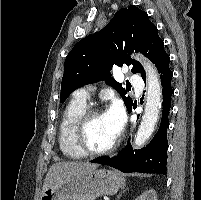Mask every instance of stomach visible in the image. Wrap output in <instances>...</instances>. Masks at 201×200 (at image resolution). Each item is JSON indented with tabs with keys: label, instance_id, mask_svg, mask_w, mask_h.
Returning a JSON list of instances; mask_svg holds the SVG:
<instances>
[{
	"label": "stomach",
	"instance_id": "obj_1",
	"mask_svg": "<svg viewBox=\"0 0 201 200\" xmlns=\"http://www.w3.org/2000/svg\"><path fill=\"white\" fill-rule=\"evenodd\" d=\"M124 185L119 172L99 169L75 173L42 192L39 200H95L115 194Z\"/></svg>",
	"mask_w": 201,
	"mask_h": 200
}]
</instances>
